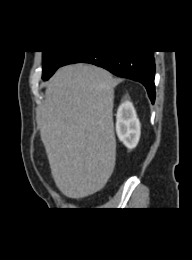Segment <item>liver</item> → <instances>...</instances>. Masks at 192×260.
<instances>
[{"instance_id":"liver-1","label":"liver","mask_w":192,"mask_h":260,"mask_svg":"<svg viewBox=\"0 0 192 260\" xmlns=\"http://www.w3.org/2000/svg\"><path fill=\"white\" fill-rule=\"evenodd\" d=\"M116 84L107 70L77 63L60 68L47 85L40 136L55 184L69 198L94 194L113 172Z\"/></svg>"}]
</instances>
